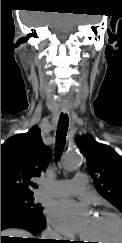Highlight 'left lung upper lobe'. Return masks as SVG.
I'll return each mask as SVG.
<instances>
[{"label": "left lung upper lobe", "instance_id": "obj_1", "mask_svg": "<svg viewBox=\"0 0 122 243\" xmlns=\"http://www.w3.org/2000/svg\"><path fill=\"white\" fill-rule=\"evenodd\" d=\"M76 142L86 157V170L98 192L122 212V157L91 135L77 137Z\"/></svg>", "mask_w": 122, "mask_h": 243}]
</instances>
